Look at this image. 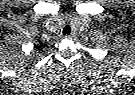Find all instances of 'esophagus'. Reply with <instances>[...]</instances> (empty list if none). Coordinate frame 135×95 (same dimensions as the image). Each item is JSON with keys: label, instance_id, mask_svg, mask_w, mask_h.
Wrapping results in <instances>:
<instances>
[{"label": "esophagus", "instance_id": "34e87169", "mask_svg": "<svg viewBox=\"0 0 135 95\" xmlns=\"http://www.w3.org/2000/svg\"><path fill=\"white\" fill-rule=\"evenodd\" d=\"M74 37H75L74 33H71V34L65 36V38H68V39H73Z\"/></svg>", "mask_w": 135, "mask_h": 95}]
</instances>
